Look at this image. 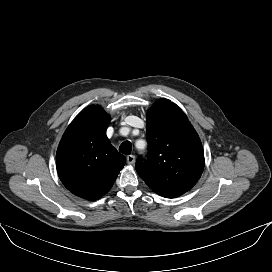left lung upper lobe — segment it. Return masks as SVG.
<instances>
[{
	"mask_svg": "<svg viewBox=\"0 0 272 272\" xmlns=\"http://www.w3.org/2000/svg\"><path fill=\"white\" fill-rule=\"evenodd\" d=\"M147 160L139 156L136 171L157 194L176 198L190 190L204 168L198 134L183 111L160 99L147 113Z\"/></svg>",
	"mask_w": 272,
	"mask_h": 272,
	"instance_id": "left-lung-upper-lobe-1",
	"label": "left lung upper lobe"
}]
</instances>
